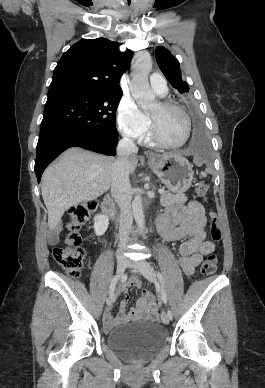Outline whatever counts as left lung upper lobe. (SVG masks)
Wrapping results in <instances>:
<instances>
[{"mask_svg": "<svg viewBox=\"0 0 265 388\" xmlns=\"http://www.w3.org/2000/svg\"><path fill=\"white\" fill-rule=\"evenodd\" d=\"M156 61L164 76L180 93L188 92L187 82L182 80L181 70L178 60L164 47H157Z\"/></svg>", "mask_w": 265, "mask_h": 388, "instance_id": "5c2ea615", "label": "left lung upper lobe"}]
</instances>
